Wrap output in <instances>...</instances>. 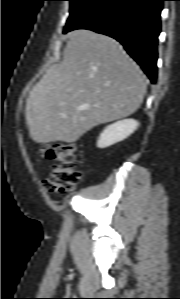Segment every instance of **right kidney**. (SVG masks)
Here are the masks:
<instances>
[{"instance_id":"right-kidney-1","label":"right kidney","mask_w":180,"mask_h":299,"mask_svg":"<svg viewBox=\"0 0 180 299\" xmlns=\"http://www.w3.org/2000/svg\"><path fill=\"white\" fill-rule=\"evenodd\" d=\"M139 126L134 119H124L107 126L100 134L97 146L106 148L123 141L130 136Z\"/></svg>"}]
</instances>
